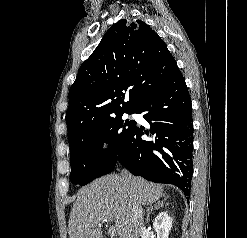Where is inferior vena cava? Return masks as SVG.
Returning a JSON list of instances; mask_svg holds the SVG:
<instances>
[{"label": "inferior vena cava", "mask_w": 247, "mask_h": 238, "mask_svg": "<svg viewBox=\"0 0 247 238\" xmlns=\"http://www.w3.org/2000/svg\"><path fill=\"white\" fill-rule=\"evenodd\" d=\"M122 178L130 182L131 175L127 170H122ZM144 229L143 209L137 198L132 199V234L131 238H139Z\"/></svg>", "instance_id": "1"}]
</instances>
